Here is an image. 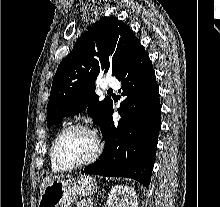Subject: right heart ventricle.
Masks as SVG:
<instances>
[{
    "mask_svg": "<svg viewBox=\"0 0 220 207\" xmlns=\"http://www.w3.org/2000/svg\"><path fill=\"white\" fill-rule=\"evenodd\" d=\"M49 156H50V165H51V168H52L54 171L63 170L62 168H60V167L54 162L53 157H52V151H51V150H50Z\"/></svg>",
    "mask_w": 220,
    "mask_h": 207,
    "instance_id": "1",
    "label": "right heart ventricle"
}]
</instances>
